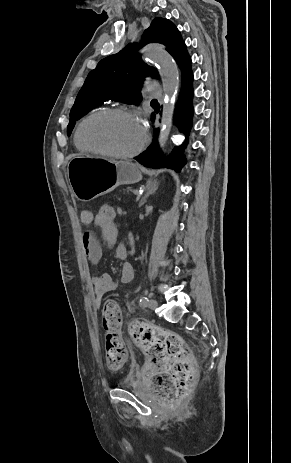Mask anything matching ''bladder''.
<instances>
[{"mask_svg": "<svg viewBox=\"0 0 291 463\" xmlns=\"http://www.w3.org/2000/svg\"><path fill=\"white\" fill-rule=\"evenodd\" d=\"M119 385L123 388H135V387H138L140 383L134 374H130V375H127L125 378H123L119 382Z\"/></svg>", "mask_w": 291, "mask_h": 463, "instance_id": "31cf9c89", "label": "bladder"}]
</instances>
